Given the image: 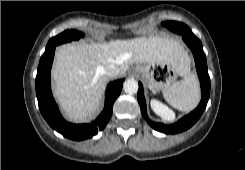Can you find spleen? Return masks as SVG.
<instances>
[{"instance_id": "spleen-1", "label": "spleen", "mask_w": 245, "mask_h": 170, "mask_svg": "<svg viewBox=\"0 0 245 170\" xmlns=\"http://www.w3.org/2000/svg\"><path fill=\"white\" fill-rule=\"evenodd\" d=\"M165 100L180 111L193 110L200 101V87L197 76L188 74L183 80L169 85L163 90Z\"/></svg>"}]
</instances>
